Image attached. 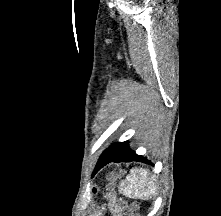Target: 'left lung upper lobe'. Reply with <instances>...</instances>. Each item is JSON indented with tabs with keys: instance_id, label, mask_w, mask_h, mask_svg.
<instances>
[{
	"instance_id": "5c2ea615",
	"label": "left lung upper lobe",
	"mask_w": 221,
	"mask_h": 216,
	"mask_svg": "<svg viewBox=\"0 0 221 216\" xmlns=\"http://www.w3.org/2000/svg\"><path fill=\"white\" fill-rule=\"evenodd\" d=\"M128 145V141L122 142V143H115L111 147H109L105 152H110V153H118L122 151L126 146Z\"/></svg>"
}]
</instances>
